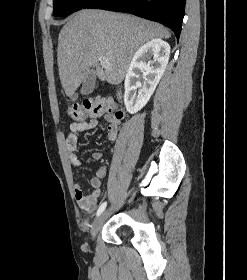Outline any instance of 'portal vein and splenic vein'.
Here are the masks:
<instances>
[{"instance_id":"1","label":"portal vein and splenic vein","mask_w":247,"mask_h":280,"mask_svg":"<svg viewBox=\"0 0 247 280\" xmlns=\"http://www.w3.org/2000/svg\"><path fill=\"white\" fill-rule=\"evenodd\" d=\"M100 65H101L102 67H106L107 65H109V60H108V58H105V57L101 58V59H100Z\"/></svg>"}]
</instances>
